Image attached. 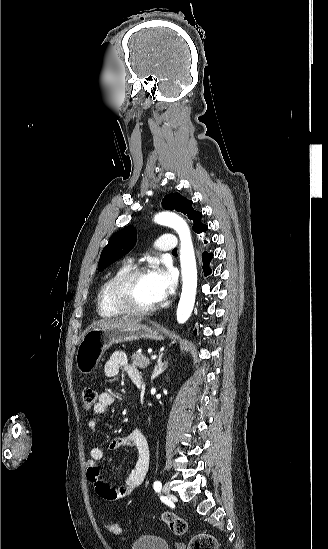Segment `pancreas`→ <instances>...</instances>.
I'll return each instance as SVG.
<instances>
[{"instance_id": "cf45deb5", "label": "pancreas", "mask_w": 328, "mask_h": 549, "mask_svg": "<svg viewBox=\"0 0 328 549\" xmlns=\"http://www.w3.org/2000/svg\"><path fill=\"white\" fill-rule=\"evenodd\" d=\"M131 363L134 367H139V369H146L150 365V359L148 357H143L140 353H134L131 357Z\"/></svg>"}]
</instances>
